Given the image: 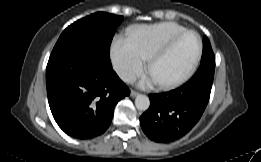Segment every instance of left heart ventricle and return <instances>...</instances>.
I'll use <instances>...</instances> for the list:
<instances>
[{
    "mask_svg": "<svg viewBox=\"0 0 261 162\" xmlns=\"http://www.w3.org/2000/svg\"><path fill=\"white\" fill-rule=\"evenodd\" d=\"M198 48V39L194 34H186L179 38L171 49L149 70L156 82L170 81L183 74L192 63Z\"/></svg>",
    "mask_w": 261,
    "mask_h": 162,
    "instance_id": "1",
    "label": "left heart ventricle"
}]
</instances>
